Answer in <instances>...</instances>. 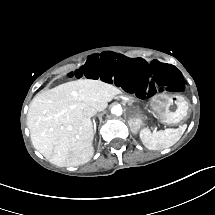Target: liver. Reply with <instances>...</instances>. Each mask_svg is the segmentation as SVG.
I'll return each mask as SVG.
<instances>
[{
  "mask_svg": "<svg viewBox=\"0 0 215 215\" xmlns=\"http://www.w3.org/2000/svg\"><path fill=\"white\" fill-rule=\"evenodd\" d=\"M120 92L116 86L94 79L65 82L39 92L27 112L34 148L58 166L87 163L93 155V126L83 110L92 106L103 111Z\"/></svg>",
  "mask_w": 215,
  "mask_h": 215,
  "instance_id": "6515ba94",
  "label": "liver"
}]
</instances>
